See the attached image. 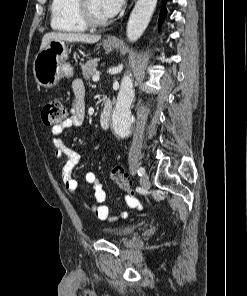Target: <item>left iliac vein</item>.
<instances>
[{"label":"left iliac vein","instance_id":"1","mask_svg":"<svg viewBox=\"0 0 247 296\" xmlns=\"http://www.w3.org/2000/svg\"><path fill=\"white\" fill-rule=\"evenodd\" d=\"M140 183H141L142 187L145 189L149 186V184H150L149 177L145 173L140 178Z\"/></svg>","mask_w":247,"mask_h":296}]
</instances>
